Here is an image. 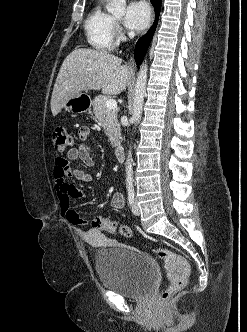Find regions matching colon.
Masks as SVG:
<instances>
[{"label": "colon", "mask_w": 247, "mask_h": 332, "mask_svg": "<svg viewBox=\"0 0 247 332\" xmlns=\"http://www.w3.org/2000/svg\"><path fill=\"white\" fill-rule=\"evenodd\" d=\"M54 148L58 153H65L72 149L74 140L71 134L64 127H56L52 132ZM95 230L115 233L118 232L124 237H131L132 231L127 226H119L109 218H97L92 222ZM154 253L164 261V267L169 280L168 287L159 296L161 303L167 302L173 296L182 291L190 275V266L187 260L170 250L162 247H155Z\"/></svg>", "instance_id": "5ec220e1"}]
</instances>
